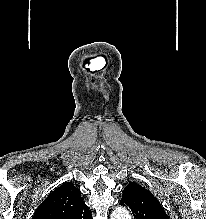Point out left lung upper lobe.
I'll use <instances>...</instances> for the list:
<instances>
[{
  "instance_id": "5c2ea615",
  "label": "left lung upper lobe",
  "mask_w": 206,
  "mask_h": 219,
  "mask_svg": "<svg viewBox=\"0 0 206 219\" xmlns=\"http://www.w3.org/2000/svg\"><path fill=\"white\" fill-rule=\"evenodd\" d=\"M120 205L130 207L134 219H169L156 197L134 182L123 190Z\"/></svg>"
}]
</instances>
